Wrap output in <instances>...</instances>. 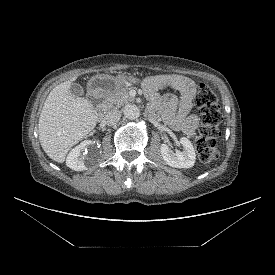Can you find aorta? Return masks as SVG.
Segmentation results:
<instances>
[{"label": "aorta", "instance_id": "aorta-1", "mask_svg": "<svg viewBox=\"0 0 275 275\" xmlns=\"http://www.w3.org/2000/svg\"><path fill=\"white\" fill-rule=\"evenodd\" d=\"M124 116L130 120H135L140 116L139 108L134 104H128L123 108Z\"/></svg>", "mask_w": 275, "mask_h": 275}]
</instances>
